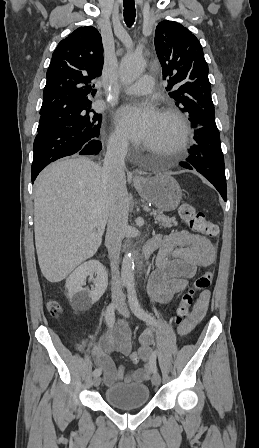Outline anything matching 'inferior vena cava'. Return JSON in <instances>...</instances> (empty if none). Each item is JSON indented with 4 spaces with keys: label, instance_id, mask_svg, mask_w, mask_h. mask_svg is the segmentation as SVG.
<instances>
[{
    "label": "inferior vena cava",
    "instance_id": "602c4592",
    "mask_svg": "<svg viewBox=\"0 0 259 448\" xmlns=\"http://www.w3.org/2000/svg\"><path fill=\"white\" fill-rule=\"evenodd\" d=\"M128 144L123 138H111L101 170V182L109 192V216L105 246L108 250L112 272V298L125 306L118 270L122 240L128 230L129 198L126 190L125 162Z\"/></svg>",
    "mask_w": 259,
    "mask_h": 448
}]
</instances>
